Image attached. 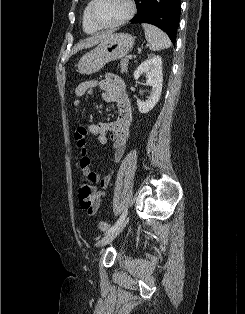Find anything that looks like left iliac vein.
Instances as JSON below:
<instances>
[{
    "instance_id": "1",
    "label": "left iliac vein",
    "mask_w": 245,
    "mask_h": 314,
    "mask_svg": "<svg viewBox=\"0 0 245 314\" xmlns=\"http://www.w3.org/2000/svg\"><path fill=\"white\" fill-rule=\"evenodd\" d=\"M128 223V217H125V219L111 232L107 233L99 242V246L102 247L109 242H111L117 235L120 234V232L124 229V227Z\"/></svg>"
}]
</instances>
